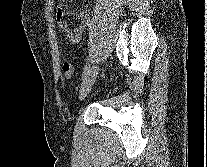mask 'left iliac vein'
I'll return each instance as SVG.
<instances>
[{
  "mask_svg": "<svg viewBox=\"0 0 207 167\" xmlns=\"http://www.w3.org/2000/svg\"><path fill=\"white\" fill-rule=\"evenodd\" d=\"M99 73V66H93L88 74L84 77L81 87H80V91H79V98L83 99L84 97H86V95L89 93L91 87L93 86L97 74Z\"/></svg>",
  "mask_w": 207,
  "mask_h": 167,
  "instance_id": "1",
  "label": "left iliac vein"
}]
</instances>
